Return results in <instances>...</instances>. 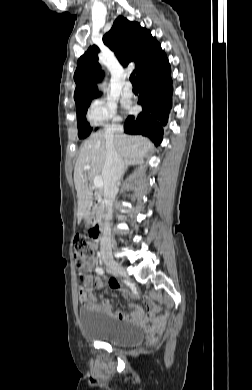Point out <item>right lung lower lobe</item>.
Wrapping results in <instances>:
<instances>
[{"instance_id": "98d812e1", "label": "right lung lower lobe", "mask_w": 252, "mask_h": 390, "mask_svg": "<svg viewBox=\"0 0 252 390\" xmlns=\"http://www.w3.org/2000/svg\"><path fill=\"white\" fill-rule=\"evenodd\" d=\"M170 65L164 69L147 74L138 81L140 95L138 103L142 112L130 115L124 123L126 133L149 137L156 145L160 144L163 127L168 121L172 108V78Z\"/></svg>"}]
</instances>
